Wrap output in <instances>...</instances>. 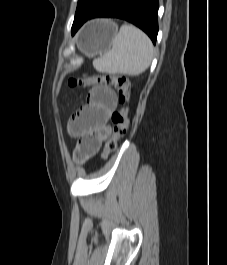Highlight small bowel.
I'll return each instance as SVG.
<instances>
[{"label":"small bowel","mask_w":227,"mask_h":265,"mask_svg":"<svg viewBox=\"0 0 227 265\" xmlns=\"http://www.w3.org/2000/svg\"><path fill=\"white\" fill-rule=\"evenodd\" d=\"M115 107L114 92L106 86H96L90 90L87 104L72 115L68 130L71 136L79 138L77 150L84 158L96 153L110 135L108 120Z\"/></svg>","instance_id":"small-bowel-1"}]
</instances>
